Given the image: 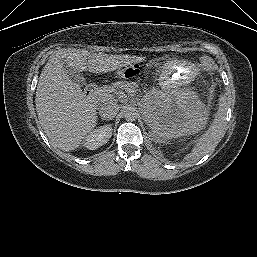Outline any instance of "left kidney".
<instances>
[{
	"mask_svg": "<svg viewBox=\"0 0 257 257\" xmlns=\"http://www.w3.org/2000/svg\"><path fill=\"white\" fill-rule=\"evenodd\" d=\"M143 115L151 133L160 140L196 134L206 124L203 104L189 91L154 95L146 103Z\"/></svg>",
	"mask_w": 257,
	"mask_h": 257,
	"instance_id": "left-kidney-1",
	"label": "left kidney"
}]
</instances>
